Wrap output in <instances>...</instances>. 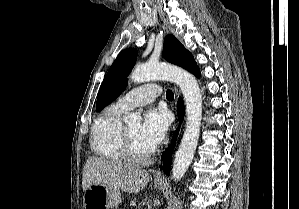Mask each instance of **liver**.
<instances>
[{"instance_id": "obj_1", "label": "liver", "mask_w": 299, "mask_h": 209, "mask_svg": "<svg viewBox=\"0 0 299 209\" xmlns=\"http://www.w3.org/2000/svg\"><path fill=\"white\" fill-rule=\"evenodd\" d=\"M148 182V171L98 157L88 158L83 169L84 191L92 184H102L128 193H136L142 190Z\"/></svg>"}]
</instances>
